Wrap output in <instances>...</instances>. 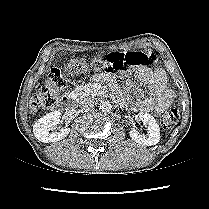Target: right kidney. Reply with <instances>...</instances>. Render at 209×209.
I'll return each instance as SVG.
<instances>
[{
	"mask_svg": "<svg viewBox=\"0 0 209 209\" xmlns=\"http://www.w3.org/2000/svg\"><path fill=\"white\" fill-rule=\"evenodd\" d=\"M60 118L61 113L54 111L36 121L33 126V133L36 139L44 143L57 142L64 139L70 132L69 128H62L59 132H50L60 122Z\"/></svg>",
	"mask_w": 209,
	"mask_h": 209,
	"instance_id": "1",
	"label": "right kidney"
}]
</instances>
